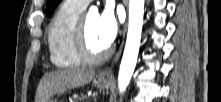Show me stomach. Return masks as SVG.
Here are the masks:
<instances>
[{
    "label": "stomach",
    "mask_w": 221,
    "mask_h": 102,
    "mask_svg": "<svg viewBox=\"0 0 221 102\" xmlns=\"http://www.w3.org/2000/svg\"><path fill=\"white\" fill-rule=\"evenodd\" d=\"M96 85L100 89H106L110 85V80H103V79L98 78V80L96 81ZM46 102H53V101L48 100Z\"/></svg>",
    "instance_id": "stomach-1"
}]
</instances>
